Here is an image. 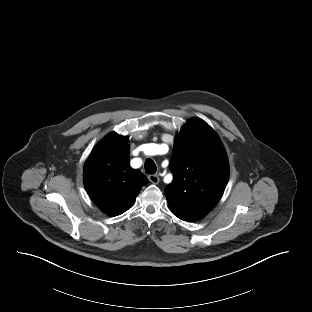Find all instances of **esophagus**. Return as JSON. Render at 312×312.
<instances>
[{
	"label": "esophagus",
	"mask_w": 312,
	"mask_h": 312,
	"mask_svg": "<svg viewBox=\"0 0 312 312\" xmlns=\"http://www.w3.org/2000/svg\"><path fill=\"white\" fill-rule=\"evenodd\" d=\"M148 179L150 182H152L154 184H157L159 182V177H158V175H155V174L149 175Z\"/></svg>",
	"instance_id": "esophagus-1"
}]
</instances>
